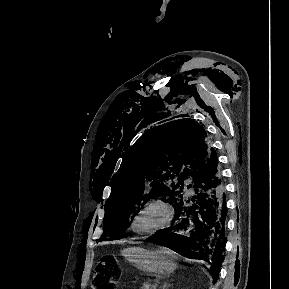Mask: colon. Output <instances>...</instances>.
<instances>
[{
  "instance_id": "1",
  "label": "colon",
  "mask_w": 289,
  "mask_h": 289,
  "mask_svg": "<svg viewBox=\"0 0 289 289\" xmlns=\"http://www.w3.org/2000/svg\"><path fill=\"white\" fill-rule=\"evenodd\" d=\"M118 281V274L108 258H104L97 266L92 289H113Z\"/></svg>"
}]
</instances>
